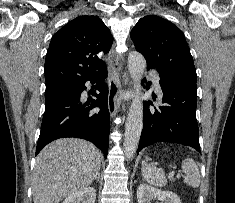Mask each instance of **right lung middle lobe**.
Masks as SVG:
<instances>
[{"label": "right lung middle lobe", "instance_id": "obj_1", "mask_svg": "<svg viewBox=\"0 0 235 203\" xmlns=\"http://www.w3.org/2000/svg\"><path fill=\"white\" fill-rule=\"evenodd\" d=\"M72 84H57V85H51V86H46L45 90V98H49L65 89L70 87Z\"/></svg>", "mask_w": 235, "mask_h": 203}]
</instances>
